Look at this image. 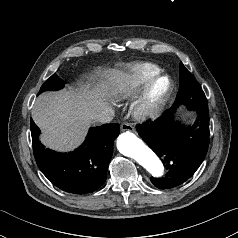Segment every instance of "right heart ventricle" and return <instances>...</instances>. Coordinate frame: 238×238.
<instances>
[{"label": "right heart ventricle", "mask_w": 238, "mask_h": 238, "mask_svg": "<svg viewBox=\"0 0 238 238\" xmlns=\"http://www.w3.org/2000/svg\"><path fill=\"white\" fill-rule=\"evenodd\" d=\"M159 68L149 62H140L121 71L114 93L119 98L133 97L143 85L159 73Z\"/></svg>", "instance_id": "obj_1"}]
</instances>
